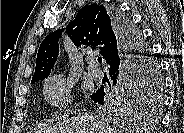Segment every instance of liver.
<instances>
[{
    "instance_id": "1",
    "label": "liver",
    "mask_w": 184,
    "mask_h": 133,
    "mask_svg": "<svg viewBox=\"0 0 184 133\" xmlns=\"http://www.w3.org/2000/svg\"><path fill=\"white\" fill-rule=\"evenodd\" d=\"M146 130L145 128H142ZM148 131V129H147ZM118 130L111 128L109 121L89 113H78L55 127L44 129V133H117Z\"/></svg>"
}]
</instances>
